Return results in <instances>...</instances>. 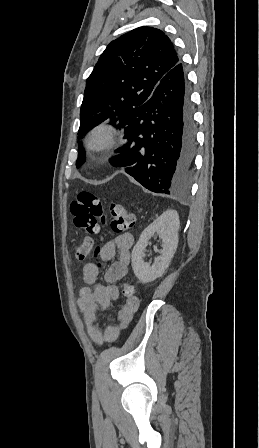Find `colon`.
I'll return each instance as SVG.
<instances>
[{
    "mask_svg": "<svg viewBox=\"0 0 259 448\" xmlns=\"http://www.w3.org/2000/svg\"><path fill=\"white\" fill-rule=\"evenodd\" d=\"M71 213L75 226L85 234V239L78 246L76 256L85 259L91 250L93 238L99 234L100 224L108 223L112 231L120 233L131 229L135 224V216L125 206L112 203L108 213L105 212L101 200L90 191H81L71 203ZM100 253V247L95 249V255ZM100 266V264H98ZM121 299L125 305L135 298L133 284L124 282L120 285Z\"/></svg>",
    "mask_w": 259,
    "mask_h": 448,
    "instance_id": "obj_1",
    "label": "colon"
}]
</instances>
